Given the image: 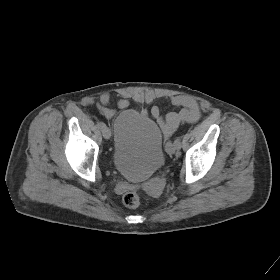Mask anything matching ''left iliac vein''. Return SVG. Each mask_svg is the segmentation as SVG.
Returning <instances> with one entry per match:
<instances>
[{
  "label": "left iliac vein",
  "mask_w": 280,
  "mask_h": 280,
  "mask_svg": "<svg viewBox=\"0 0 280 280\" xmlns=\"http://www.w3.org/2000/svg\"><path fill=\"white\" fill-rule=\"evenodd\" d=\"M177 149V146L172 143V142H168L167 145H166V152L169 154V155H172L175 153Z\"/></svg>",
  "instance_id": "obj_1"
}]
</instances>
